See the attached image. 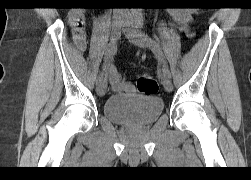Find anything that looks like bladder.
Wrapping results in <instances>:
<instances>
[{"instance_id": "1", "label": "bladder", "mask_w": 251, "mask_h": 180, "mask_svg": "<svg viewBox=\"0 0 251 180\" xmlns=\"http://www.w3.org/2000/svg\"><path fill=\"white\" fill-rule=\"evenodd\" d=\"M164 109V102L154 95L125 96L114 94L103 105L104 116L121 125H148L155 122Z\"/></svg>"}]
</instances>
